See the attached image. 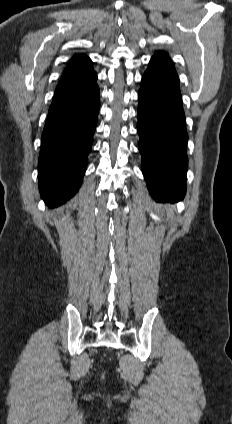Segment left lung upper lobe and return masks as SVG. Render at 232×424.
<instances>
[{
    "mask_svg": "<svg viewBox=\"0 0 232 424\" xmlns=\"http://www.w3.org/2000/svg\"><path fill=\"white\" fill-rule=\"evenodd\" d=\"M168 55L164 51H158L153 58H167Z\"/></svg>",
    "mask_w": 232,
    "mask_h": 424,
    "instance_id": "obj_1",
    "label": "left lung upper lobe"
}]
</instances>
